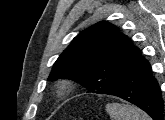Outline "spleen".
I'll list each match as a JSON object with an SVG mask.
<instances>
[{"label": "spleen", "instance_id": "obj_1", "mask_svg": "<svg viewBox=\"0 0 165 120\" xmlns=\"http://www.w3.org/2000/svg\"><path fill=\"white\" fill-rule=\"evenodd\" d=\"M106 111L111 120H151L144 111L130 104L108 103Z\"/></svg>", "mask_w": 165, "mask_h": 120}]
</instances>
